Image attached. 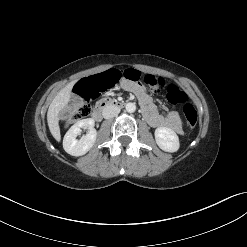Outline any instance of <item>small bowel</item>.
I'll use <instances>...</instances> for the list:
<instances>
[{
    "mask_svg": "<svg viewBox=\"0 0 247 247\" xmlns=\"http://www.w3.org/2000/svg\"><path fill=\"white\" fill-rule=\"evenodd\" d=\"M121 86L124 90L137 96L144 117L152 127L169 128L179 135L183 134V126L178 112L169 111L166 115L159 114L142 84L124 80Z\"/></svg>",
    "mask_w": 247,
    "mask_h": 247,
    "instance_id": "small-bowel-1",
    "label": "small bowel"
}]
</instances>
